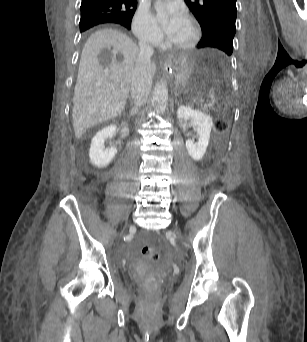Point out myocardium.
I'll use <instances>...</instances> for the list:
<instances>
[{
	"mask_svg": "<svg viewBox=\"0 0 307 342\" xmlns=\"http://www.w3.org/2000/svg\"><path fill=\"white\" fill-rule=\"evenodd\" d=\"M189 32H190V37H189L188 42L184 46L177 48L180 52L190 51L198 44L200 40V36H201L200 32L193 22L189 23Z\"/></svg>",
	"mask_w": 307,
	"mask_h": 342,
	"instance_id": "f54148a6",
	"label": "myocardium"
}]
</instances>
